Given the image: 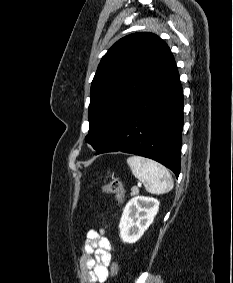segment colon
<instances>
[{
    "instance_id": "1",
    "label": "colon",
    "mask_w": 233,
    "mask_h": 283,
    "mask_svg": "<svg viewBox=\"0 0 233 283\" xmlns=\"http://www.w3.org/2000/svg\"><path fill=\"white\" fill-rule=\"evenodd\" d=\"M103 192L106 194H113L119 203H122L125 197V187L122 181L115 179L107 181L103 184ZM111 275L116 277L119 272V266L117 262L113 261L111 264Z\"/></svg>"
}]
</instances>
